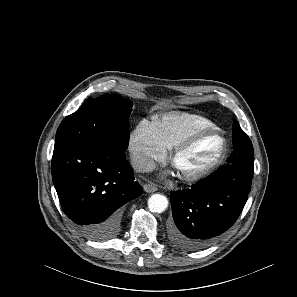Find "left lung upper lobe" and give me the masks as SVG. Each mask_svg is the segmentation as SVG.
<instances>
[{"instance_id":"obj_1","label":"left lung upper lobe","mask_w":297,"mask_h":297,"mask_svg":"<svg viewBox=\"0 0 297 297\" xmlns=\"http://www.w3.org/2000/svg\"><path fill=\"white\" fill-rule=\"evenodd\" d=\"M234 150L227 160L231 164H254L253 146L247 134L241 129L237 120L233 122Z\"/></svg>"}]
</instances>
